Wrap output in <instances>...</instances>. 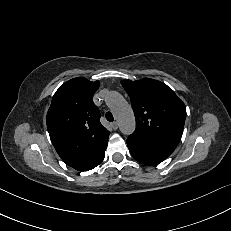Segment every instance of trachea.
<instances>
[{
    "label": "trachea",
    "instance_id": "obj_1",
    "mask_svg": "<svg viewBox=\"0 0 231 231\" xmlns=\"http://www.w3.org/2000/svg\"><path fill=\"white\" fill-rule=\"evenodd\" d=\"M105 117H106L107 121H109V122H113L114 121V117H113V115H112L111 112H107L105 114Z\"/></svg>",
    "mask_w": 231,
    "mask_h": 231
}]
</instances>
